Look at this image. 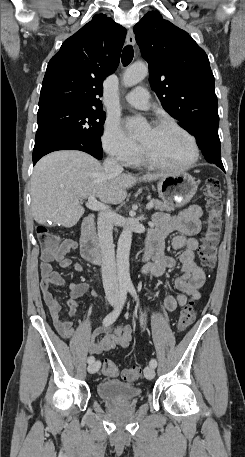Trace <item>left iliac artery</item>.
<instances>
[{
  "label": "left iliac artery",
  "mask_w": 245,
  "mask_h": 457,
  "mask_svg": "<svg viewBox=\"0 0 245 457\" xmlns=\"http://www.w3.org/2000/svg\"><path fill=\"white\" fill-rule=\"evenodd\" d=\"M127 289L130 292V294L134 297V299L136 300L137 305L140 306V301L138 299V295H137V292L135 290V287L133 285H130V286L127 287ZM140 323H141L142 326L144 325V315H143L141 309H140ZM149 364H150L151 367L156 368V366H157L156 359H151Z\"/></svg>",
  "instance_id": "44dca946"
}]
</instances>
